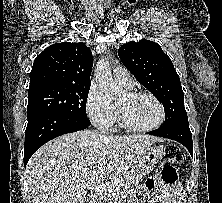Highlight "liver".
Wrapping results in <instances>:
<instances>
[{
  "label": "liver",
  "instance_id": "liver-1",
  "mask_svg": "<svg viewBox=\"0 0 222 203\" xmlns=\"http://www.w3.org/2000/svg\"><path fill=\"white\" fill-rule=\"evenodd\" d=\"M149 135L107 136L82 130L59 136L30 158L27 182L33 203H85V182L117 181L159 141Z\"/></svg>",
  "mask_w": 222,
  "mask_h": 203
}]
</instances>
